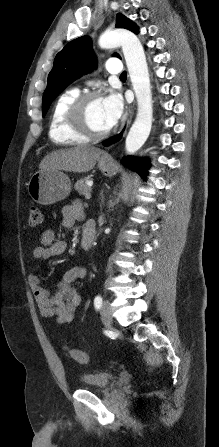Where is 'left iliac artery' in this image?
Masks as SVG:
<instances>
[{"instance_id":"obj_1","label":"left iliac artery","mask_w":219,"mask_h":447,"mask_svg":"<svg viewBox=\"0 0 219 447\" xmlns=\"http://www.w3.org/2000/svg\"><path fill=\"white\" fill-rule=\"evenodd\" d=\"M94 306L96 309H100L102 306V297L101 296H96L94 299Z\"/></svg>"}]
</instances>
